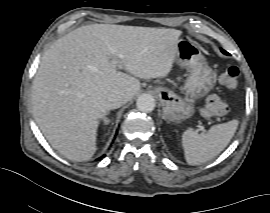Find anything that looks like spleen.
<instances>
[{
    "label": "spleen",
    "instance_id": "spleen-1",
    "mask_svg": "<svg viewBox=\"0 0 270 213\" xmlns=\"http://www.w3.org/2000/svg\"><path fill=\"white\" fill-rule=\"evenodd\" d=\"M238 120L212 126L207 133L188 129L182 134L184 156L188 164L207 162L223 151L234 136Z\"/></svg>",
    "mask_w": 270,
    "mask_h": 213
}]
</instances>
